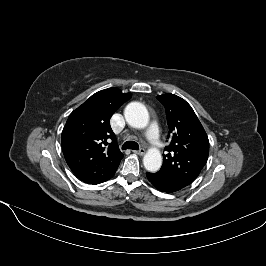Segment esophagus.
Segmentation results:
<instances>
[{"label": "esophagus", "instance_id": "obj_1", "mask_svg": "<svg viewBox=\"0 0 266 266\" xmlns=\"http://www.w3.org/2000/svg\"><path fill=\"white\" fill-rule=\"evenodd\" d=\"M135 154L137 155H144L145 154V149L144 148H140L139 150L134 151Z\"/></svg>", "mask_w": 266, "mask_h": 266}]
</instances>
